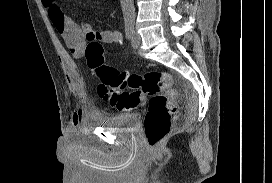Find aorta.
<instances>
[{
  "label": "aorta",
  "mask_w": 272,
  "mask_h": 183,
  "mask_svg": "<svg viewBox=\"0 0 272 183\" xmlns=\"http://www.w3.org/2000/svg\"><path fill=\"white\" fill-rule=\"evenodd\" d=\"M120 2L125 24H133L135 21L134 0H121Z\"/></svg>",
  "instance_id": "1"
}]
</instances>
